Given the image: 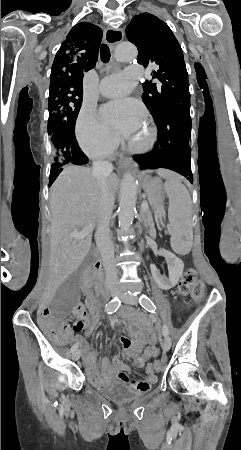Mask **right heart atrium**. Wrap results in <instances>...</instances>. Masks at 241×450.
Instances as JSON below:
<instances>
[{"label": "right heart atrium", "instance_id": "d8ad5b80", "mask_svg": "<svg viewBox=\"0 0 241 450\" xmlns=\"http://www.w3.org/2000/svg\"><path fill=\"white\" fill-rule=\"evenodd\" d=\"M75 132L82 152L93 159H106L113 155L116 139L96 118L94 109L82 106L75 124Z\"/></svg>", "mask_w": 241, "mask_h": 450}]
</instances>
